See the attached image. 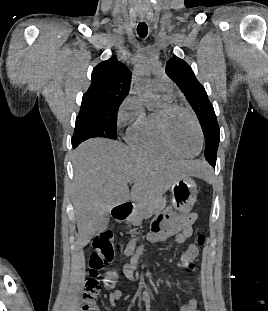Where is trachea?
<instances>
[{"instance_id":"3493384b","label":"trachea","mask_w":268,"mask_h":311,"mask_svg":"<svg viewBox=\"0 0 268 311\" xmlns=\"http://www.w3.org/2000/svg\"><path fill=\"white\" fill-rule=\"evenodd\" d=\"M137 34L141 38H145L147 36V34H148V27H147V24L145 22H141V23L138 24V26H137Z\"/></svg>"}]
</instances>
